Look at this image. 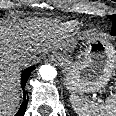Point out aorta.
Here are the masks:
<instances>
[{"mask_svg":"<svg viewBox=\"0 0 116 116\" xmlns=\"http://www.w3.org/2000/svg\"><path fill=\"white\" fill-rule=\"evenodd\" d=\"M39 74L43 80L49 81L53 80L57 76V71L54 66L42 65L39 68Z\"/></svg>","mask_w":116,"mask_h":116,"instance_id":"obj_1","label":"aorta"}]
</instances>
